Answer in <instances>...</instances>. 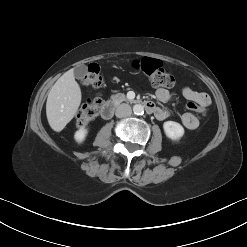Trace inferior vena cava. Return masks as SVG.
I'll list each match as a JSON object with an SVG mask.
<instances>
[{
	"instance_id": "obj_1",
	"label": "inferior vena cava",
	"mask_w": 247,
	"mask_h": 247,
	"mask_svg": "<svg viewBox=\"0 0 247 247\" xmlns=\"http://www.w3.org/2000/svg\"><path fill=\"white\" fill-rule=\"evenodd\" d=\"M131 113H132V110H131L130 105L123 103L117 107L115 114L118 118H123V117L130 116Z\"/></svg>"
}]
</instances>
